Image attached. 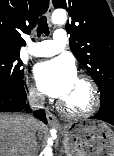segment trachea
Segmentation results:
<instances>
[{"mask_svg": "<svg viewBox=\"0 0 114 156\" xmlns=\"http://www.w3.org/2000/svg\"><path fill=\"white\" fill-rule=\"evenodd\" d=\"M41 34L49 35V27L45 16L40 17L38 20L37 36Z\"/></svg>", "mask_w": 114, "mask_h": 156, "instance_id": "trachea-1", "label": "trachea"}]
</instances>
